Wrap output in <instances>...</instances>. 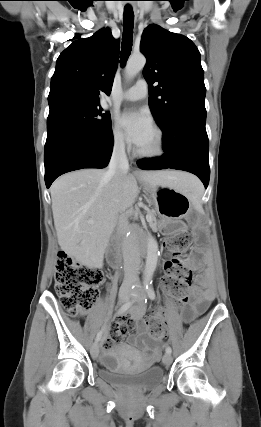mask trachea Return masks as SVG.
<instances>
[{
  "label": "trachea",
  "mask_w": 261,
  "mask_h": 427,
  "mask_svg": "<svg viewBox=\"0 0 261 427\" xmlns=\"http://www.w3.org/2000/svg\"><path fill=\"white\" fill-rule=\"evenodd\" d=\"M123 36H122V46H121V55H120V64L122 67L125 66L132 50L133 42V26H134V13L131 6L126 5L124 7L123 13Z\"/></svg>",
  "instance_id": "1"
}]
</instances>
